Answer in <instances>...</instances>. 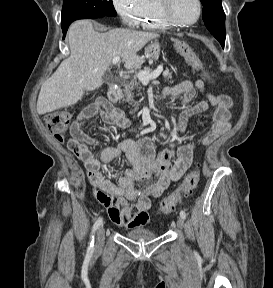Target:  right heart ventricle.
I'll list each match as a JSON object with an SVG mask.
<instances>
[{
	"mask_svg": "<svg viewBox=\"0 0 273 288\" xmlns=\"http://www.w3.org/2000/svg\"><path fill=\"white\" fill-rule=\"evenodd\" d=\"M138 26L144 29H164L169 26L160 16L156 0H144Z\"/></svg>",
	"mask_w": 273,
	"mask_h": 288,
	"instance_id": "1",
	"label": "right heart ventricle"
}]
</instances>
